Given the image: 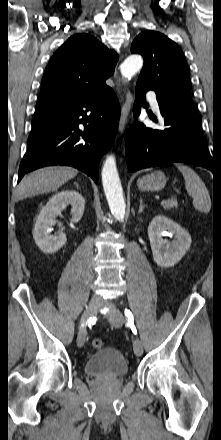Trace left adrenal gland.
<instances>
[{"instance_id":"1","label":"left adrenal gland","mask_w":221,"mask_h":440,"mask_svg":"<svg viewBox=\"0 0 221 440\" xmlns=\"http://www.w3.org/2000/svg\"><path fill=\"white\" fill-rule=\"evenodd\" d=\"M145 207H146V205H143V200L140 199V207H139L138 213L141 214Z\"/></svg>"}]
</instances>
